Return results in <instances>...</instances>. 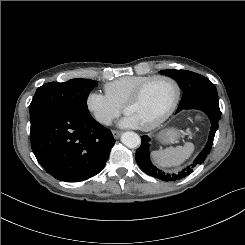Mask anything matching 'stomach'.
<instances>
[{
  "mask_svg": "<svg viewBox=\"0 0 245 245\" xmlns=\"http://www.w3.org/2000/svg\"><path fill=\"white\" fill-rule=\"evenodd\" d=\"M180 132L175 128H167L158 134V139L164 144H174L178 142Z\"/></svg>",
  "mask_w": 245,
  "mask_h": 245,
  "instance_id": "stomach-1",
  "label": "stomach"
}]
</instances>
